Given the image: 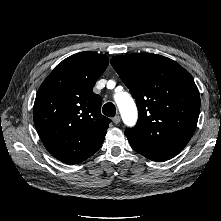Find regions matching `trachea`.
<instances>
[{
    "instance_id": "obj_1",
    "label": "trachea",
    "mask_w": 221,
    "mask_h": 221,
    "mask_svg": "<svg viewBox=\"0 0 221 221\" xmlns=\"http://www.w3.org/2000/svg\"><path fill=\"white\" fill-rule=\"evenodd\" d=\"M102 112L108 117H114L116 114V107L113 103L108 102L103 106Z\"/></svg>"
}]
</instances>
